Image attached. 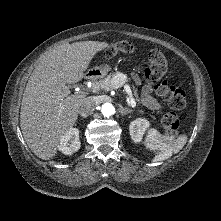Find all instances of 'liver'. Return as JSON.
Here are the masks:
<instances>
[{
  "label": "liver",
  "mask_w": 221,
  "mask_h": 221,
  "mask_svg": "<svg viewBox=\"0 0 221 221\" xmlns=\"http://www.w3.org/2000/svg\"><path fill=\"white\" fill-rule=\"evenodd\" d=\"M106 42L65 43L42 55L26 85L20 127L31 151L43 160L57 154L61 138L74 126L85 95H70L66 84L79 82Z\"/></svg>",
  "instance_id": "1"
}]
</instances>
